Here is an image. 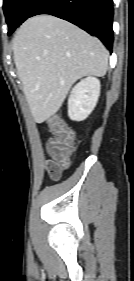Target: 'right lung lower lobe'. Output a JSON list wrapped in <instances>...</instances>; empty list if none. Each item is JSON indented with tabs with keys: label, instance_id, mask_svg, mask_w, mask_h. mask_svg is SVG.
<instances>
[{
	"label": "right lung lower lobe",
	"instance_id": "obj_1",
	"mask_svg": "<svg viewBox=\"0 0 134 281\" xmlns=\"http://www.w3.org/2000/svg\"><path fill=\"white\" fill-rule=\"evenodd\" d=\"M39 14H50L67 20L98 37L112 50L113 0H30L21 23Z\"/></svg>",
	"mask_w": 134,
	"mask_h": 281
}]
</instances>
